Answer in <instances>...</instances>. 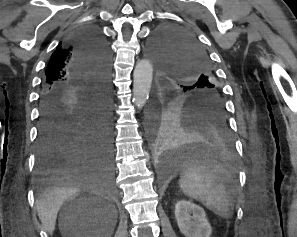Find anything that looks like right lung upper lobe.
<instances>
[{
  "mask_svg": "<svg viewBox=\"0 0 297 237\" xmlns=\"http://www.w3.org/2000/svg\"><path fill=\"white\" fill-rule=\"evenodd\" d=\"M74 49L69 41L60 44L51 56L46 68L44 90H50L55 86H62L68 89H81V83L75 79L73 73Z\"/></svg>",
  "mask_w": 297,
  "mask_h": 237,
  "instance_id": "obj_1",
  "label": "right lung upper lobe"
}]
</instances>
